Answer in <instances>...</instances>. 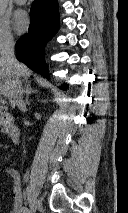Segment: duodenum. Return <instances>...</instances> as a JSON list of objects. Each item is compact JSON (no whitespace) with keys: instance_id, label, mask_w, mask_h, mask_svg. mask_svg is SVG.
I'll return each mask as SVG.
<instances>
[{"instance_id":"410a0bca","label":"duodenum","mask_w":128,"mask_h":213,"mask_svg":"<svg viewBox=\"0 0 128 213\" xmlns=\"http://www.w3.org/2000/svg\"><path fill=\"white\" fill-rule=\"evenodd\" d=\"M0 123L3 125L8 137L13 142H18L20 138V130L15 124L13 117L6 112L0 111Z\"/></svg>"}]
</instances>
